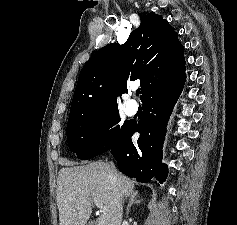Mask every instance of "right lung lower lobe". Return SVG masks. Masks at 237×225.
Returning a JSON list of instances; mask_svg holds the SVG:
<instances>
[{"label":"right lung lower lobe","instance_id":"obj_1","mask_svg":"<svg viewBox=\"0 0 237 225\" xmlns=\"http://www.w3.org/2000/svg\"><path fill=\"white\" fill-rule=\"evenodd\" d=\"M184 81L166 82L142 99L143 117L128 126L108 151L113 154L119 170L139 182L157 179L166 180L168 167L162 164L163 143L166 126L173 107L182 92ZM139 132L140 137L133 143L131 136Z\"/></svg>","mask_w":237,"mask_h":225}]
</instances>
